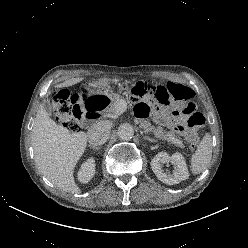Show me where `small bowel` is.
<instances>
[{"mask_svg": "<svg viewBox=\"0 0 248 248\" xmlns=\"http://www.w3.org/2000/svg\"><path fill=\"white\" fill-rule=\"evenodd\" d=\"M135 113L139 118H146L149 115H152L156 122L165 124L182 135H188L189 129L187 125L181 122L180 117L177 114H165L158 112L146 102L138 104L135 108Z\"/></svg>", "mask_w": 248, "mask_h": 248, "instance_id": "1", "label": "small bowel"}]
</instances>
